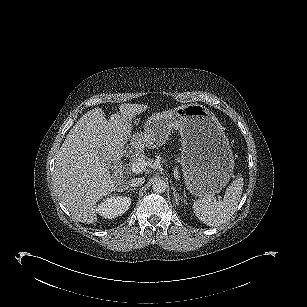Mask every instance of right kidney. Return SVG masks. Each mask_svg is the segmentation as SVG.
Segmentation results:
<instances>
[{
    "mask_svg": "<svg viewBox=\"0 0 307 307\" xmlns=\"http://www.w3.org/2000/svg\"><path fill=\"white\" fill-rule=\"evenodd\" d=\"M131 202L127 196H110L97 205L96 212L107 219L116 218L129 209Z\"/></svg>",
    "mask_w": 307,
    "mask_h": 307,
    "instance_id": "obj_1",
    "label": "right kidney"
}]
</instances>
